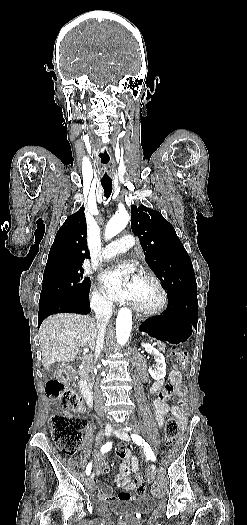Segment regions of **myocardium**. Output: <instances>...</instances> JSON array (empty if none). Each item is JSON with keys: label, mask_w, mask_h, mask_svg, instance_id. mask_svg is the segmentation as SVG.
<instances>
[{"label": "myocardium", "mask_w": 247, "mask_h": 525, "mask_svg": "<svg viewBox=\"0 0 247 525\" xmlns=\"http://www.w3.org/2000/svg\"><path fill=\"white\" fill-rule=\"evenodd\" d=\"M134 262H135V259H134ZM140 274H141L142 277L149 278L150 280H152L154 282V284L156 285V287L159 289V291L161 293V299L156 304H144V303H142L140 301H137V300H134V304L137 307H139L146 314L157 313V312L161 311L164 308V306L166 305V303H167L166 290L163 287L160 279L153 272L143 270V271H141Z\"/></svg>", "instance_id": "myocardium-1"}]
</instances>
